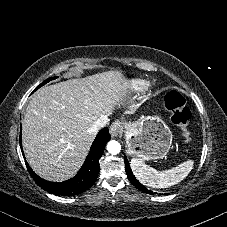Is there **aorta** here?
<instances>
[{"label": "aorta", "instance_id": "obj_1", "mask_svg": "<svg viewBox=\"0 0 227 227\" xmlns=\"http://www.w3.org/2000/svg\"><path fill=\"white\" fill-rule=\"evenodd\" d=\"M107 150L110 154L116 155L121 151V145L118 141L111 140L107 144Z\"/></svg>", "mask_w": 227, "mask_h": 227}]
</instances>
